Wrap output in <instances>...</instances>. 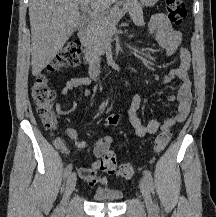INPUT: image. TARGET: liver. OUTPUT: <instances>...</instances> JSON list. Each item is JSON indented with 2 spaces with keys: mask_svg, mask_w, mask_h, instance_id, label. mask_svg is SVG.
Wrapping results in <instances>:
<instances>
[{
  "mask_svg": "<svg viewBox=\"0 0 216 217\" xmlns=\"http://www.w3.org/2000/svg\"><path fill=\"white\" fill-rule=\"evenodd\" d=\"M117 0H30L32 74L37 76L82 24L78 5L103 12Z\"/></svg>",
  "mask_w": 216,
  "mask_h": 217,
  "instance_id": "obj_1",
  "label": "liver"
}]
</instances>
